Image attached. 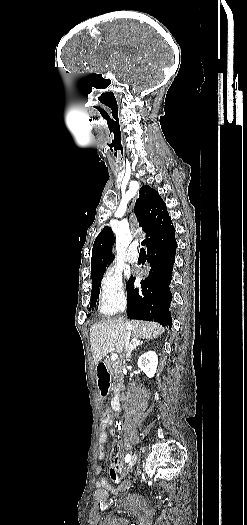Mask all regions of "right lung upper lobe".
<instances>
[{"label":"right lung upper lobe","mask_w":247,"mask_h":525,"mask_svg":"<svg viewBox=\"0 0 247 525\" xmlns=\"http://www.w3.org/2000/svg\"><path fill=\"white\" fill-rule=\"evenodd\" d=\"M140 197L136 201L135 213L138 221L146 233V241L160 231L171 225V218L166 209V204L158 192L149 187L140 188ZM114 241L111 228L106 226L94 241L91 257V276L105 272L110 264L111 244Z\"/></svg>","instance_id":"obj_1"}]
</instances>
